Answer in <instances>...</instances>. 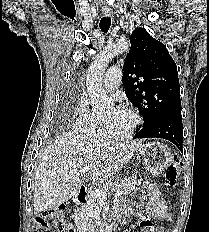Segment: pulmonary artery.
Listing matches in <instances>:
<instances>
[{
	"instance_id": "pulmonary-artery-1",
	"label": "pulmonary artery",
	"mask_w": 209,
	"mask_h": 232,
	"mask_svg": "<svg viewBox=\"0 0 209 232\" xmlns=\"http://www.w3.org/2000/svg\"><path fill=\"white\" fill-rule=\"evenodd\" d=\"M122 71L118 66L110 67L105 73L103 84L108 91L116 90L121 82Z\"/></svg>"
}]
</instances>
